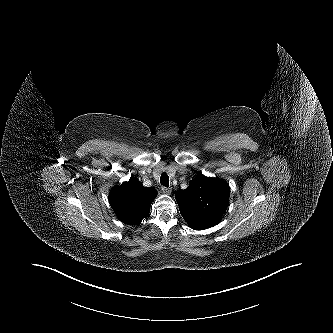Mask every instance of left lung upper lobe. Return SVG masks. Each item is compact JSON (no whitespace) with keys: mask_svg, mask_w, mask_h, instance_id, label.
I'll return each instance as SVG.
<instances>
[{"mask_svg":"<svg viewBox=\"0 0 333 333\" xmlns=\"http://www.w3.org/2000/svg\"><path fill=\"white\" fill-rule=\"evenodd\" d=\"M230 196L229 184L222 179L198 173L186 190H178L175 198L188 225L203 230L216 225L224 214Z\"/></svg>","mask_w":333,"mask_h":333,"instance_id":"left-lung-upper-lobe-1","label":"left lung upper lobe"}]
</instances>
